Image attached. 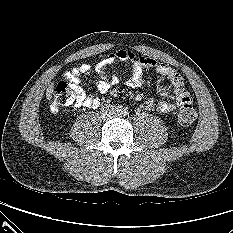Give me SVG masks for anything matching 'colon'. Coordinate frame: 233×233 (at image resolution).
<instances>
[{
  "label": "colon",
  "mask_w": 233,
  "mask_h": 233,
  "mask_svg": "<svg viewBox=\"0 0 233 233\" xmlns=\"http://www.w3.org/2000/svg\"><path fill=\"white\" fill-rule=\"evenodd\" d=\"M75 99V91L66 82H59L53 87L51 110L58 112L63 107L72 104ZM196 117L197 113L191 104L183 105L178 115L179 122L183 125L192 124Z\"/></svg>",
  "instance_id": "5ec220e1"
}]
</instances>
